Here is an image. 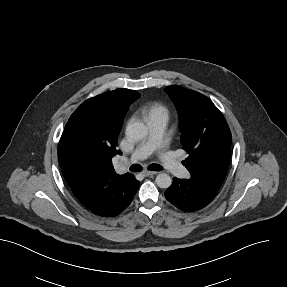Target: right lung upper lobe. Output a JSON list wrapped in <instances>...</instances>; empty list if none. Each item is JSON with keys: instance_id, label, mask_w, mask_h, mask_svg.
Instances as JSON below:
<instances>
[{"instance_id": "cb5924a9", "label": "right lung upper lobe", "mask_w": 287, "mask_h": 287, "mask_svg": "<svg viewBox=\"0 0 287 287\" xmlns=\"http://www.w3.org/2000/svg\"><path fill=\"white\" fill-rule=\"evenodd\" d=\"M139 97L136 91L120 88L86 100L74 112L81 119L86 136L102 148L103 155L88 175L62 171L71 189L103 178L122 176L114 171L112 157L121 154L116 146L123 118L129 105Z\"/></svg>"}]
</instances>
